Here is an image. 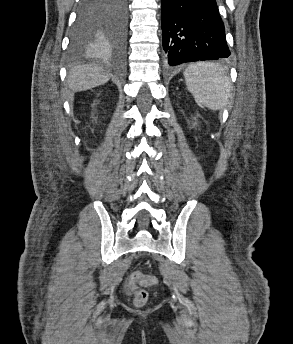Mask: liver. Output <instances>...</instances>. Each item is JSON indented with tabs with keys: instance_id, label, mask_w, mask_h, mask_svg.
Here are the masks:
<instances>
[{
	"instance_id": "liver-1",
	"label": "liver",
	"mask_w": 293,
	"mask_h": 344,
	"mask_svg": "<svg viewBox=\"0 0 293 344\" xmlns=\"http://www.w3.org/2000/svg\"><path fill=\"white\" fill-rule=\"evenodd\" d=\"M109 79L110 74L99 67L78 65L69 71L68 87L72 91H84L102 85Z\"/></svg>"
}]
</instances>
